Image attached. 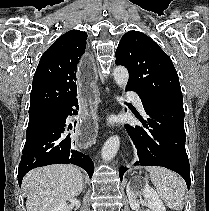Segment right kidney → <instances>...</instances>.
Returning a JSON list of instances; mask_svg holds the SVG:
<instances>
[{"mask_svg":"<svg viewBox=\"0 0 209 211\" xmlns=\"http://www.w3.org/2000/svg\"><path fill=\"white\" fill-rule=\"evenodd\" d=\"M69 201L72 204H74L77 208L80 207V201L78 199L71 198ZM51 211H69V210H68V205L66 204V202H62L58 204L57 206H55Z\"/></svg>","mask_w":209,"mask_h":211,"instance_id":"obj_1","label":"right kidney"}]
</instances>
